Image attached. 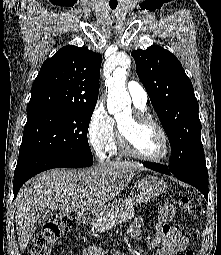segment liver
<instances>
[{
	"label": "liver",
	"mask_w": 221,
	"mask_h": 255,
	"mask_svg": "<svg viewBox=\"0 0 221 255\" xmlns=\"http://www.w3.org/2000/svg\"><path fill=\"white\" fill-rule=\"evenodd\" d=\"M141 169L130 162L110 161L82 170L52 169L30 179L14 202L20 250L26 249L46 211H101Z\"/></svg>",
	"instance_id": "liver-1"
}]
</instances>
